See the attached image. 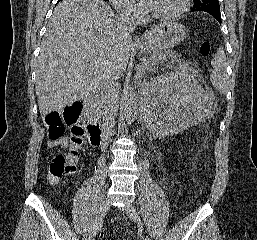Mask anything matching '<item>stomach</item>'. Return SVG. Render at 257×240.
<instances>
[{"mask_svg": "<svg viewBox=\"0 0 257 240\" xmlns=\"http://www.w3.org/2000/svg\"><path fill=\"white\" fill-rule=\"evenodd\" d=\"M186 36L185 27L177 22L169 21L158 25L153 35L138 47L141 51H162L181 43Z\"/></svg>", "mask_w": 257, "mask_h": 240, "instance_id": "0dacf381", "label": "stomach"}]
</instances>
